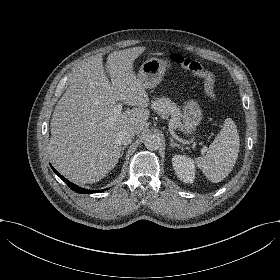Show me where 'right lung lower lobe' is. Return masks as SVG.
<instances>
[{
  "label": "right lung lower lobe",
  "mask_w": 280,
  "mask_h": 280,
  "mask_svg": "<svg viewBox=\"0 0 280 280\" xmlns=\"http://www.w3.org/2000/svg\"><path fill=\"white\" fill-rule=\"evenodd\" d=\"M52 167V166H51ZM53 171L64 181L66 182V184L75 192L77 193H81V194H86V193H96V192H101L104 191L106 189L103 190H87V189H83L71 182H69L67 179H65L62 175H60L53 167H52Z\"/></svg>",
  "instance_id": "98d812e1"
}]
</instances>
